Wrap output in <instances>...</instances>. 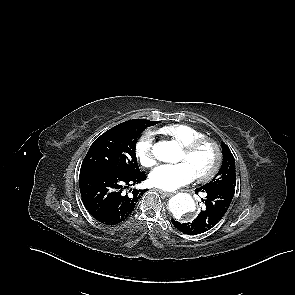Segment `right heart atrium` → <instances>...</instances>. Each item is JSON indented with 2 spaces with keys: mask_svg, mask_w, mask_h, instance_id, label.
Here are the masks:
<instances>
[{
  "mask_svg": "<svg viewBox=\"0 0 295 295\" xmlns=\"http://www.w3.org/2000/svg\"><path fill=\"white\" fill-rule=\"evenodd\" d=\"M136 157L140 164L146 168L153 167L157 162V155L153 145V135L145 132L135 146Z\"/></svg>",
  "mask_w": 295,
  "mask_h": 295,
  "instance_id": "obj_1",
  "label": "right heart atrium"
}]
</instances>
